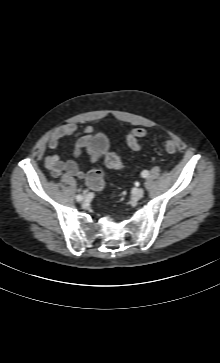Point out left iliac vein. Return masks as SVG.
I'll use <instances>...</instances> for the list:
<instances>
[{"label": "left iliac vein", "instance_id": "obj_1", "mask_svg": "<svg viewBox=\"0 0 220 363\" xmlns=\"http://www.w3.org/2000/svg\"><path fill=\"white\" fill-rule=\"evenodd\" d=\"M144 195V189L143 188H138L136 189L134 195H133V199L135 201H138L139 199H141Z\"/></svg>", "mask_w": 220, "mask_h": 363}]
</instances>
